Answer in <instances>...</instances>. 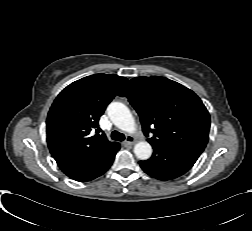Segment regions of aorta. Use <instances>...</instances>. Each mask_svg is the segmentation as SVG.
<instances>
[{"instance_id":"762f6f07","label":"aorta","mask_w":252,"mask_h":231,"mask_svg":"<svg viewBox=\"0 0 252 231\" xmlns=\"http://www.w3.org/2000/svg\"><path fill=\"white\" fill-rule=\"evenodd\" d=\"M108 116L112 123L122 131L134 133L135 120L129 108L121 102H112L107 108ZM134 154L140 160H147L152 155V147L147 141H139L134 146Z\"/></svg>"}]
</instances>
